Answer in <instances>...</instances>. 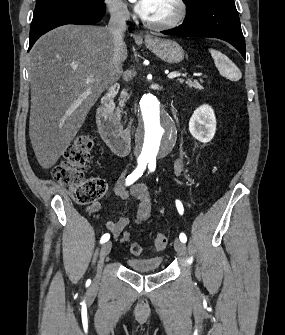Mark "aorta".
Returning a JSON list of instances; mask_svg holds the SVG:
<instances>
[{"instance_id": "obj_1", "label": "aorta", "mask_w": 285, "mask_h": 335, "mask_svg": "<svg viewBox=\"0 0 285 335\" xmlns=\"http://www.w3.org/2000/svg\"><path fill=\"white\" fill-rule=\"evenodd\" d=\"M138 112H141L140 125L134 127L137 147H140L141 160H163L176 147L180 137L177 119H170L164 95H155L154 90H141Z\"/></svg>"}]
</instances>
